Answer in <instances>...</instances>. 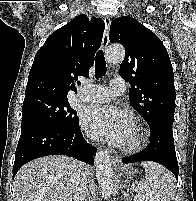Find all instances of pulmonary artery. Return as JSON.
Returning a JSON list of instances; mask_svg holds the SVG:
<instances>
[{"mask_svg":"<svg viewBox=\"0 0 196 201\" xmlns=\"http://www.w3.org/2000/svg\"><path fill=\"white\" fill-rule=\"evenodd\" d=\"M124 90L125 83L122 79H112L109 86L84 84L77 96L83 101L107 102L120 95Z\"/></svg>","mask_w":196,"mask_h":201,"instance_id":"obj_1","label":"pulmonary artery"}]
</instances>
